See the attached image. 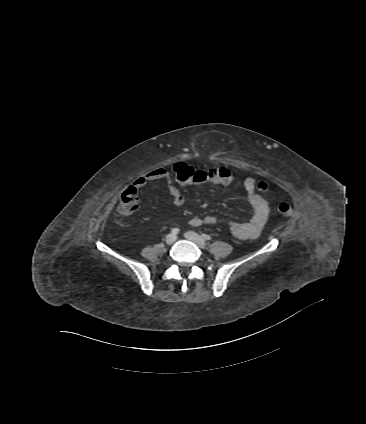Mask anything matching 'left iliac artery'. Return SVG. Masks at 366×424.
Instances as JSON below:
<instances>
[{
	"label": "left iliac artery",
	"mask_w": 366,
	"mask_h": 424,
	"mask_svg": "<svg viewBox=\"0 0 366 424\" xmlns=\"http://www.w3.org/2000/svg\"><path fill=\"white\" fill-rule=\"evenodd\" d=\"M202 237L205 239V240H211L212 238L209 236V235H207V234H202Z\"/></svg>",
	"instance_id": "44dca946"
}]
</instances>
